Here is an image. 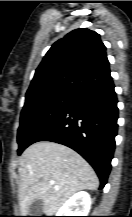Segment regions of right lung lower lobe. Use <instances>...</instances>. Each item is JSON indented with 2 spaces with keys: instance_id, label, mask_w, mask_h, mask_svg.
<instances>
[{
  "instance_id": "1",
  "label": "right lung lower lobe",
  "mask_w": 132,
  "mask_h": 217,
  "mask_svg": "<svg viewBox=\"0 0 132 217\" xmlns=\"http://www.w3.org/2000/svg\"><path fill=\"white\" fill-rule=\"evenodd\" d=\"M117 102L112 79L79 93L36 142H56L77 151L95 169L102 189L115 149Z\"/></svg>"
}]
</instances>
